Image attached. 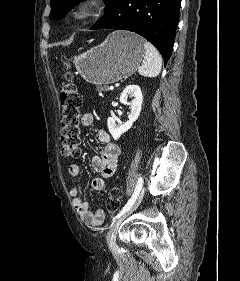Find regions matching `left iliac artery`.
<instances>
[{
	"mask_svg": "<svg viewBox=\"0 0 240 281\" xmlns=\"http://www.w3.org/2000/svg\"><path fill=\"white\" fill-rule=\"evenodd\" d=\"M142 185H143V178L139 177L136 188H135V191H134L132 197L129 199L127 204L122 208V210L117 214V216L115 218H113V221H115V219L119 218L121 215H123L125 212H127L133 206L137 197L139 196V193L142 189Z\"/></svg>",
	"mask_w": 240,
	"mask_h": 281,
	"instance_id": "obj_1",
	"label": "left iliac artery"
}]
</instances>
